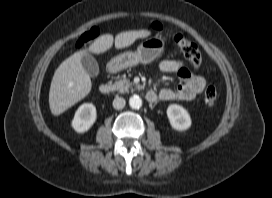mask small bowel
<instances>
[{"instance_id": "small-bowel-1", "label": "small bowel", "mask_w": 272, "mask_h": 198, "mask_svg": "<svg viewBox=\"0 0 272 198\" xmlns=\"http://www.w3.org/2000/svg\"><path fill=\"white\" fill-rule=\"evenodd\" d=\"M160 69L167 73H176L181 81V84L176 89H162L158 94L161 101H191L207 85L204 77L192 74L181 60H163L160 63Z\"/></svg>"}]
</instances>
